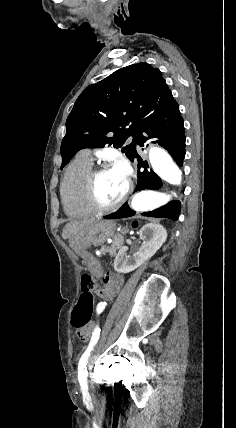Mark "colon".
<instances>
[{"label":"colon","instance_id":"colon-1","mask_svg":"<svg viewBox=\"0 0 236 428\" xmlns=\"http://www.w3.org/2000/svg\"><path fill=\"white\" fill-rule=\"evenodd\" d=\"M95 280L87 274L81 276V296L72 314L71 324L77 331L84 329L91 321Z\"/></svg>","mask_w":236,"mask_h":428}]
</instances>
